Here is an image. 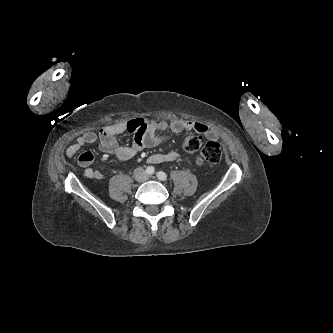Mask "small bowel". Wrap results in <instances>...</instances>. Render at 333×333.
<instances>
[{"mask_svg": "<svg viewBox=\"0 0 333 333\" xmlns=\"http://www.w3.org/2000/svg\"><path fill=\"white\" fill-rule=\"evenodd\" d=\"M171 131L180 133L182 131H196L203 134L209 141H216L218 134L201 122L184 119H173L171 121H161L152 118H134L127 122H118L99 129L98 132H86L78 137L66 149V156L71 158L79 154L86 146L98 144L101 151L114 155L120 161H127L143 148H152L160 145L167 138L161 136L159 132ZM129 132L134 135L132 146L120 145L117 136ZM179 158L176 151L168 153H156L149 157V162L158 164L175 161ZM93 162L91 152H83L78 157V164L85 168V176L90 179L101 180L103 173L100 170L90 168Z\"/></svg>", "mask_w": 333, "mask_h": 333, "instance_id": "c3829d8e", "label": "small bowel"}]
</instances>
